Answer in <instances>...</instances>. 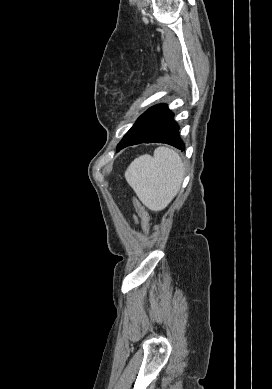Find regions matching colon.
<instances>
[{"label": "colon", "instance_id": "obj_1", "mask_svg": "<svg viewBox=\"0 0 272 389\" xmlns=\"http://www.w3.org/2000/svg\"><path fill=\"white\" fill-rule=\"evenodd\" d=\"M136 209H137V212L142 220L144 228L147 231H149L151 228V223H150V217H149L148 213L138 202L136 203Z\"/></svg>", "mask_w": 272, "mask_h": 389}]
</instances>
